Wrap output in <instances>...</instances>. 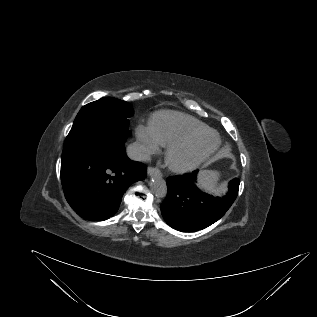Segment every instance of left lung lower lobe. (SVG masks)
Wrapping results in <instances>:
<instances>
[{
  "mask_svg": "<svg viewBox=\"0 0 317 317\" xmlns=\"http://www.w3.org/2000/svg\"><path fill=\"white\" fill-rule=\"evenodd\" d=\"M198 171L167 178V196L161 204L162 215L172 228L192 232L204 229L219 220L237 197L240 181L229 183L224 197H214L199 190Z\"/></svg>",
  "mask_w": 317,
  "mask_h": 317,
  "instance_id": "left-lung-lower-lobe-1",
  "label": "left lung lower lobe"
}]
</instances>
